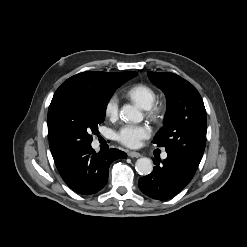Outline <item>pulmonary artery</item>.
Wrapping results in <instances>:
<instances>
[{
  "label": "pulmonary artery",
  "mask_w": 247,
  "mask_h": 247,
  "mask_svg": "<svg viewBox=\"0 0 247 247\" xmlns=\"http://www.w3.org/2000/svg\"><path fill=\"white\" fill-rule=\"evenodd\" d=\"M162 158H163V159H166V158H167V153H166V152H164V153L162 154Z\"/></svg>",
  "instance_id": "obj_1"
}]
</instances>
